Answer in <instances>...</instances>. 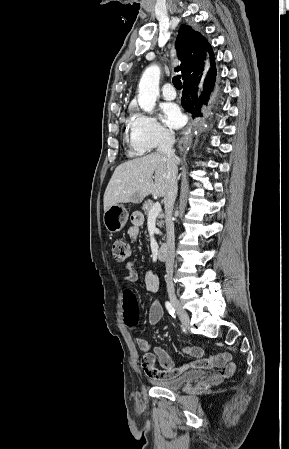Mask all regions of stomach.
I'll return each mask as SVG.
<instances>
[{"label":"stomach","instance_id":"1","mask_svg":"<svg viewBox=\"0 0 289 449\" xmlns=\"http://www.w3.org/2000/svg\"><path fill=\"white\" fill-rule=\"evenodd\" d=\"M129 217L127 209L121 204L112 205L104 211L103 222L109 232H119Z\"/></svg>","mask_w":289,"mask_h":449}]
</instances>
